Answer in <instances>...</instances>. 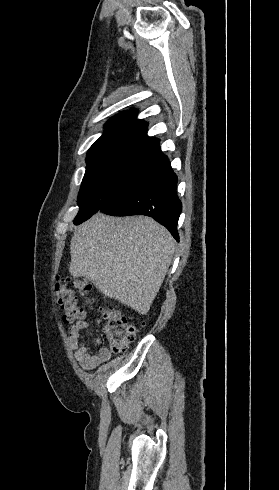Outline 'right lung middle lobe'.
Instances as JSON below:
<instances>
[{
	"instance_id": "obj_1",
	"label": "right lung middle lobe",
	"mask_w": 279,
	"mask_h": 490,
	"mask_svg": "<svg viewBox=\"0 0 279 490\" xmlns=\"http://www.w3.org/2000/svg\"><path fill=\"white\" fill-rule=\"evenodd\" d=\"M158 164L132 161H109L87 165L78 195L79 212L73 223L78 225L98 212L112 193L137 184L159 169Z\"/></svg>"
}]
</instances>
